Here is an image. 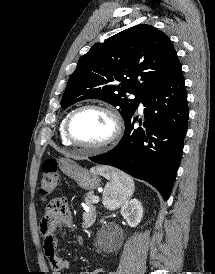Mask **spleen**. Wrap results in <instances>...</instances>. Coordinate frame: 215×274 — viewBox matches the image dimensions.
Returning <instances> with one entry per match:
<instances>
[{"label": "spleen", "instance_id": "3e777b00", "mask_svg": "<svg viewBox=\"0 0 215 274\" xmlns=\"http://www.w3.org/2000/svg\"><path fill=\"white\" fill-rule=\"evenodd\" d=\"M91 171L109 179L103 192V204L107 209L114 210L126 204L133 195L134 181L126 173L105 166H97Z\"/></svg>", "mask_w": 215, "mask_h": 274}]
</instances>
